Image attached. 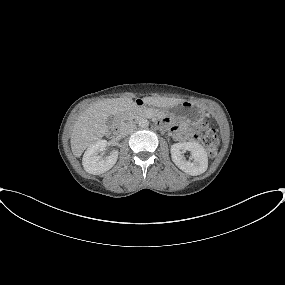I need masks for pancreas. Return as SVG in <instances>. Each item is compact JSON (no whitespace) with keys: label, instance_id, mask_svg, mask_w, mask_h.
Returning a JSON list of instances; mask_svg holds the SVG:
<instances>
[{"label":"pancreas","instance_id":"obj_1","mask_svg":"<svg viewBox=\"0 0 285 285\" xmlns=\"http://www.w3.org/2000/svg\"><path fill=\"white\" fill-rule=\"evenodd\" d=\"M149 114H153L157 117H160L161 114L157 111L151 110V109H147V108H134L131 111L127 112L125 114V118L128 120H132V119H137L140 117H146Z\"/></svg>","mask_w":285,"mask_h":285}]
</instances>
